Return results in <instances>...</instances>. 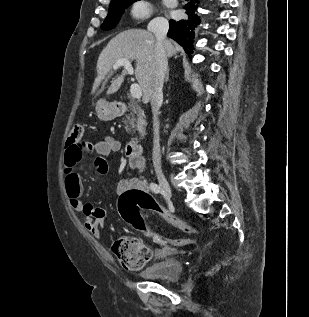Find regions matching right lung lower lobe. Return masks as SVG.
Segmentation results:
<instances>
[{"label": "right lung lower lobe", "mask_w": 309, "mask_h": 317, "mask_svg": "<svg viewBox=\"0 0 309 317\" xmlns=\"http://www.w3.org/2000/svg\"><path fill=\"white\" fill-rule=\"evenodd\" d=\"M199 6V0H191L184 9L188 18L175 22L170 20V28L168 31V37L177 41L191 57L194 47L192 46L194 29L200 24V18L197 14V8Z\"/></svg>", "instance_id": "1"}]
</instances>
